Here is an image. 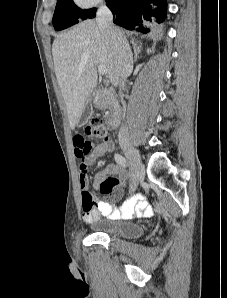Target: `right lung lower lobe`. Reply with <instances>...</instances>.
<instances>
[{"mask_svg": "<svg viewBox=\"0 0 227 298\" xmlns=\"http://www.w3.org/2000/svg\"><path fill=\"white\" fill-rule=\"evenodd\" d=\"M114 23L128 30L150 31L148 22L161 23L166 18V0H106ZM155 5V6H152ZM95 11L88 18H94Z\"/></svg>", "mask_w": 227, "mask_h": 298, "instance_id": "obj_1", "label": "right lung lower lobe"}]
</instances>
